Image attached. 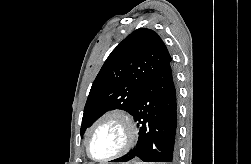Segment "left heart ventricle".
Here are the masks:
<instances>
[{
  "mask_svg": "<svg viewBox=\"0 0 251 164\" xmlns=\"http://www.w3.org/2000/svg\"><path fill=\"white\" fill-rule=\"evenodd\" d=\"M125 137V129L119 121L115 119L104 121L91 136L89 142L90 153L95 158L110 156L121 149Z\"/></svg>",
  "mask_w": 251,
  "mask_h": 164,
  "instance_id": "left-heart-ventricle-1",
  "label": "left heart ventricle"
}]
</instances>
